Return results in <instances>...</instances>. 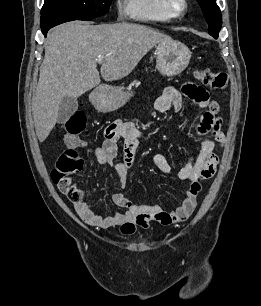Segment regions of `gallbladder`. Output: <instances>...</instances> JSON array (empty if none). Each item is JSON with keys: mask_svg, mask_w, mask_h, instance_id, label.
<instances>
[{"mask_svg": "<svg viewBox=\"0 0 261 306\" xmlns=\"http://www.w3.org/2000/svg\"><path fill=\"white\" fill-rule=\"evenodd\" d=\"M78 101L72 97H64L59 105L57 122L66 123L70 117L77 111Z\"/></svg>", "mask_w": 261, "mask_h": 306, "instance_id": "bac80fb5", "label": "gallbladder"}]
</instances>
